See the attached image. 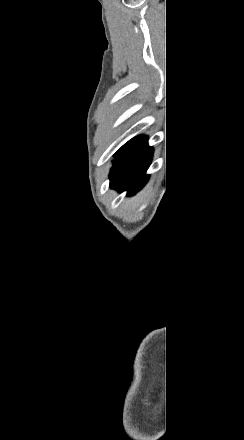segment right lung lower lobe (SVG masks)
Returning <instances> with one entry per match:
<instances>
[{"instance_id": "98d812e1", "label": "right lung lower lobe", "mask_w": 244, "mask_h": 440, "mask_svg": "<svg viewBox=\"0 0 244 440\" xmlns=\"http://www.w3.org/2000/svg\"><path fill=\"white\" fill-rule=\"evenodd\" d=\"M153 148L148 146L147 137L140 135L121 147L115 154L110 172V187L133 195L148 181L145 174L151 164Z\"/></svg>"}]
</instances>
